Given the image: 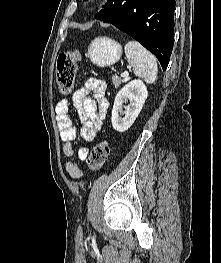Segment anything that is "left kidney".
Wrapping results in <instances>:
<instances>
[{
    "instance_id": "obj_1",
    "label": "left kidney",
    "mask_w": 221,
    "mask_h": 263,
    "mask_svg": "<svg viewBox=\"0 0 221 263\" xmlns=\"http://www.w3.org/2000/svg\"><path fill=\"white\" fill-rule=\"evenodd\" d=\"M147 96V88L140 80L130 81L118 92L111 117L112 126L116 131L124 132L132 126L142 110ZM128 100L130 105L124 106L125 110L123 111V103H126ZM120 115L123 117H120Z\"/></svg>"
}]
</instances>
